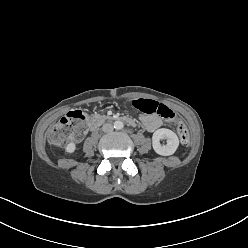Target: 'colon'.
<instances>
[{"instance_id":"obj_1","label":"colon","mask_w":248,"mask_h":248,"mask_svg":"<svg viewBox=\"0 0 248 248\" xmlns=\"http://www.w3.org/2000/svg\"><path fill=\"white\" fill-rule=\"evenodd\" d=\"M134 108L146 114H158L168 122L177 120L175 113L169 107L150 99L133 98ZM86 115L81 110H74L63 116L49 131V142L54 146H61L66 141L80 139L86 127ZM177 130L182 144L190 143V134L187 127L178 122Z\"/></svg>"}]
</instances>
